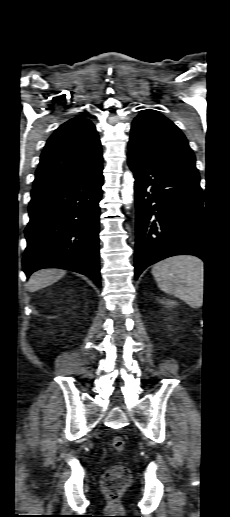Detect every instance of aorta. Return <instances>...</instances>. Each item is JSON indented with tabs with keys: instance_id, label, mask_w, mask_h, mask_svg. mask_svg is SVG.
Returning <instances> with one entry per match:
<instances>
[{
	"instance_id": "obj_1",
	"label": "aorta",
	"mask_w": 230,
	"mask_h": 517,
	"mask_svg": "<svg viewBox=\"0 0 230 517\" xmlns=\"http://www.w3.org/2000/svg\"><path fill=\"white\" fill-rule=\"evenodd\" d=\"M121 195L126 208H129L134 195V177L130 171H126L123 175Z\"/></svg>"
}]
</instances>
